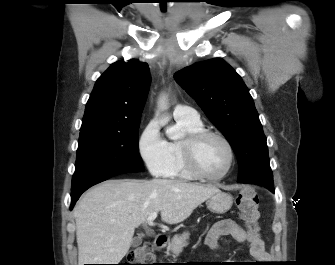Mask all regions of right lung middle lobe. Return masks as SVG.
I'll return each instance as SVG.
<instances>
[{
  "label": "right lung middle lobe",
  "mask_w": 335,
  "mask_h": 265,
  "mask_svg": "<svg viewBox=\"0 0 335 265\" xmlns=\"http://www.w3.org/2000/svg\"><path fill=\"white\" fill-rule=\"evenodd\" d=\"M139 124L80 133L72 190L96 178L144 171L138 152Z\"/></svg>",
  "instance_id": "obj_1"
}]
</instances>
